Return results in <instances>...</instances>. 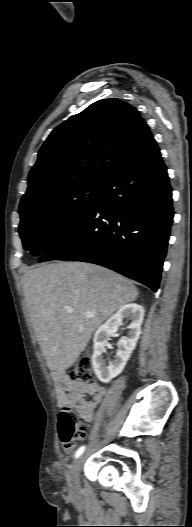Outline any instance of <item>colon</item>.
Here are the masks:
<instances>
[{
    "mask_svg": "<svg viewBox=\"0 0 192 527\" xmlns=\"http://www.w3.org/2000/svg\"><path fill=\"white\" fill-rule=\"evenodd\" d=\"M69 378L81 384H91L92 361L88 357L81 358L69 371ZM83 426L71 405L63 404L58 415L59 438L66 450H72L86 436Z\"/></svg>",
    "mask_w": 192,
    "mask_h": 527,
    "instance_id": "1",
    "label": "colon"
}]
</instances>
